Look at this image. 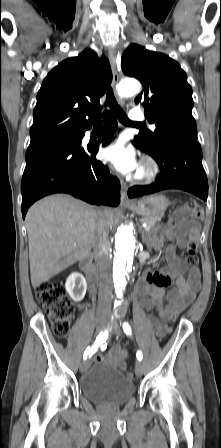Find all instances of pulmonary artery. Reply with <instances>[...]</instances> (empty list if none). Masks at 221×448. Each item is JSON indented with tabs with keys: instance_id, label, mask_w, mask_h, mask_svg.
Listing matches in <instances>:
<instances>
[{
	"instance_id": "1",
	"label": "pulmonary artery",
	"mask_w": 221,
	"mask_h": 448,
	"mask_svg": "<svg viewBox=\"0 0 221 448\" xmlns=\"http://www.w3.org/2000/svg\"><path fill=\"white\" fill-rule=\"evenodd\" d=\"M144 119V111L139 109H134L130 112V120L134 123H139Z\"/></svg>"
}]
</instances>
